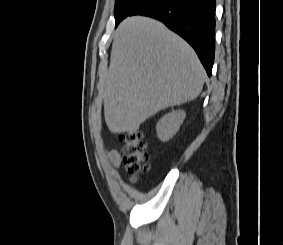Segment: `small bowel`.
<instances>
[{"label":"small bowel","instance_id":"c3829d8e","mask_svg":"<svg viewBox=\"0 0 283 245\" xmlns=\"http://www.w3.org/2000/svg\"><path fill=\"white\" fill-rule=\"evenodd\" d=\"M108 159L112 167L117 168L121 161V156L117 150H112L108 154Z\"/></svg>","mask_w":283,"mask_h":245}]
</instances>
